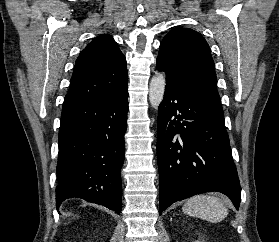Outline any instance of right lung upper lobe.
<instances>
[{"label": "right lung upper lobe", "mask_w": 279, "mask_h": 242, "mask_svg": "<svg viewBox=\"0 0 279 242\" xmlns=\"http://www.w3.org/2000/svg\"><path fill=\"white\" fill-rule=\"evenodd\" d=\"M126 59L109 35L95 38L76 60L63 107L114 96L127 87Z\"/></svg>", "instance_id": "1"}]
</instances>
